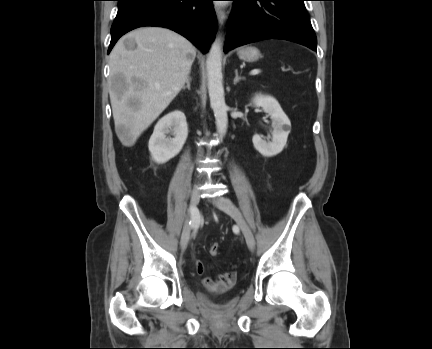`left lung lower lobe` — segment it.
I'll list each match as a JSON object with an SVG mask.
<instances>
[{"label": "left lung lower lobe", "instance_id": "left-lung-lower-lobe-1", "mask_svg": "<svg viewBox=\"0 0 432 349\" xmlns=\"http://www.w3.org/2000/svg\"><path fill=\"white\" fill-rule=\"evenodd\" d=\"M236 10L228 20L224 52L265 39L293 41L316 50L317 39L305 0H233Z\"/></svg>", "mask_w": 432, "mask_h": 349}]
</instances>
